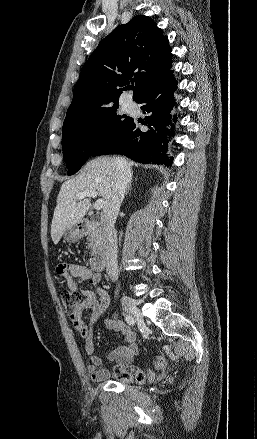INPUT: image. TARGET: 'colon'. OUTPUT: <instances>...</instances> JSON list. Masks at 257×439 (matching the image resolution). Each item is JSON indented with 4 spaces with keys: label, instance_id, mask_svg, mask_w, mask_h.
Instances as JSON below:
<instances>
[{
    "label": "colon",
    "instance_id": "obj_1",
    "mask_svg": "<svg viewBox=\"0 0 257 439\" xmlns=\"http://www.w3.org/2000/svg\"><path fill=\"white\" fill-rule=\"evenodd\" d=\"M62 303L65 306L67 312L72 314L76 311L78 305L82 301V294L78 291L64 290L61 293ZM157 365H160V359H157ZM116 377L120 380L127 382H137L144 384L153 379V373L149 370L134 369L129 367H123L118 369Z\"/></svg>",
    "mask_w": 257,
    "mask_h": 439
}]
</instances>
